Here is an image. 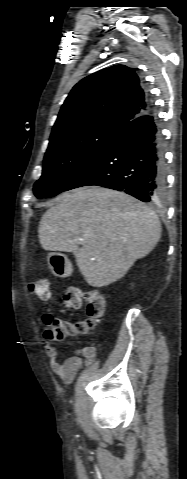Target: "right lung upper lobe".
Wrapping results in <instances>:
<instances>
[{
	"mask_svg": "<svg viewBox=\"0 0 187 479\" xmlns=\"http://www.w3.org/2000/svg\"><path fill=\"white\" fill-rule=\"evenodd\" d=\"M151 108L135 71L124 65L111 66L74 86L60 110L50 139L90 125L104 124L122 130Z\"/></svg>",
	"mask_w": 187,
	"mask_h": 479,
	"instance_id": "right-lung-upper-lobe-1",
	"label": "right lung upper lobe"
}]
</instances>
